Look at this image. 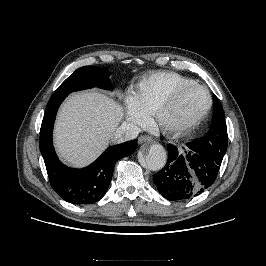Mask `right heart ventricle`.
<instances>
[{"label": "right heart ventricle", "instance_id": "e07e8e85", "mask_svg": "<svg viewBox=\"0 0 266 266\" xmlns=\"http://www.w3.org/2000/svg\"><path fill=\"white\" fill-rule=\"evenodd\" d=\"M195 82L174 72L159 71L145 76L136 86L133 100L147 115H154L165 98L176 88Z\"/></svg>", "mask_w": 266, "mask_h": 266}]
</instances>
